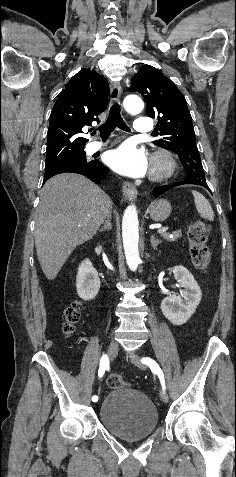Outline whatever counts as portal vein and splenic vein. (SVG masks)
<instances>
[{"mask_svg": "<svg viewBox=\"0 0 236 477\" xmlns=\"http://www.w3.org/2000/svg\"><path fill=\"white\" fill-rule=\"evenodd\" d=\"M168 231V227H163L158 230V234H164Z\"/></svg>", "mask_w": 236, "mask_h": 477, "instance_id": "obj_1", "label": "portal vein and splenic vein"}]
</instances>
